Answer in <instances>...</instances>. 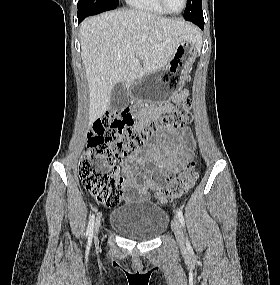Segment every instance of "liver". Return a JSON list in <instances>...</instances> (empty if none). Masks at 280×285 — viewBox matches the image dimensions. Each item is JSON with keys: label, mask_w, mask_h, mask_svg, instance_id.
I'll return each instance as SVG.
<instances>
[{"label": "liver", "mask_w": 280, "mask_h": 285, "mask_svg": "<svg viewBox=\"0 0 280 285\" xmlns=\"http://www.w3.org/2000/svg\"><path fill=\"white\" fill-rule=\"evenodd\" d=\"M200 39L195 26L143 10L87 18L80 26V43L89 88V124L108 110L115 84L129 86L164 68L179 43Z\"/></svg>", "instance_id": "liver-1"}]
</instances>
